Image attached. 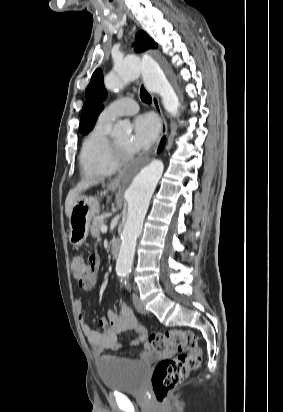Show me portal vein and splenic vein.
<instances>
[{
  "instance_id": "obj_1",
  "label": "portal vein and splenic vein",
  "mask_w": 283,
  "mask_h": 412,
  "mask_svg": "<svg viewBox=\"0 0 283 412\" xmlns=\"http://www.w3.org/2000/svg\"><path fill=\"white\" fill-rule=\"evenodd\" d=\"M100 230H101L102 233L107 232V226L103 225Z\"/></svg>"
}]
</instances>
